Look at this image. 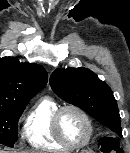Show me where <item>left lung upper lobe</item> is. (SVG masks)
<instances>
[{
  "instance_id": "1",
  "label": "left lung upper lobe",
  "mask_w": 130,
  "mask_h": 153,
  "mask_svg": "<svg viewBox=\"0 0 130 153\" xmlns=\"http://www.w3.org/2000/svg\"><path fill=\"white\" fill-rule=\"evenodd\" d=\"M54 92L122 136L117 102L109 86L86 68H59L50 77Z\"/></svg>"
}]
</instances>
